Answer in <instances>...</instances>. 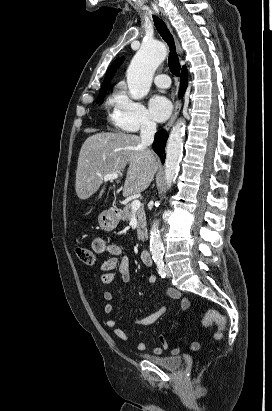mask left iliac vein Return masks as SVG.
<instances>
[{"instance_id": "1", "label": "left iliac vein", "mask_w": 272, "mask_h": 411, "mask_svg": "<svg viewBox=\"0 0 272 411\" xmlns=\"http://www.w3.org/2000/svg\"><path fill=\"white\" fill-rule=\"evenodd\" d=\"M165 271H166V276L170 277L171 276V271H170L168 266H165Z\"/></svg>"}]
</instances>
